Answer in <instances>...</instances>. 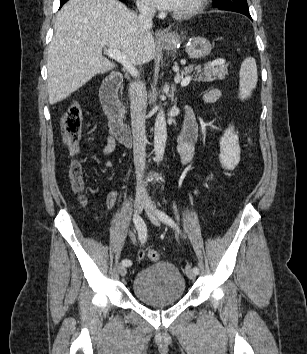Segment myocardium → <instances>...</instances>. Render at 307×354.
<instances>
[{"label": "myocardium", "instance_id": "1", "mask_svg": "<svg viewBox=\"0 0 307 354\" xmlns=\"http://www.w3.org/2000/svg\"><path fill=\"white\" fill-rule=\"evenodd\" d=\"M207 0H194L191 5L179 12H174V16L179 19L188 18L200 12L206 5Z\"/></svg>", "mask_w": 307, "mask_h": 354}]
</instances>
